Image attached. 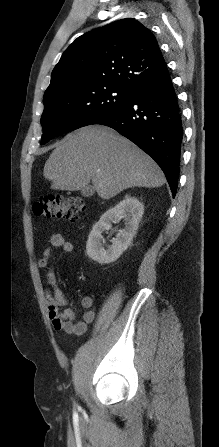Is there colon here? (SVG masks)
Instances as JSON below:
<instances>
[{
	"label": "colon",
	"mask_w": 219,
	"mask_h": 447,
	"mask_svg": "<svg viewBox=\"0 0 219 447\" xmlns=\"http://www.w3.org/2000/svg\"><path fill=\"white\" fill-rule=\"evenodd\" d=\"M85 209L84 200L77 197L48 196L33 204V212L37 216L71 221H76Z\"/></svg>",
	"instance_id": "colon-1"
}]
</instances>
